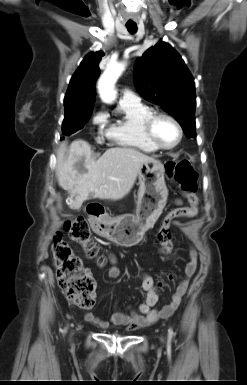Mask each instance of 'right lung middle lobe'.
Segmentation results:
<instances>
[{
  "label": "right lung middle lobe",
  "instance_id": "dd1d6c3e",
  "mask_svg": "<svg viewBox=\"0 0 247 385\" xmlns=\"http://www.w3.org/2000/svg\"><path fill=\"white\" fill-rule=\"evenodd\" d=\"M93 107L65 106V117L62 131L65 135H71L81 129L89 120Z\"/></svg>",
  "mask_w": 247,
  "mask_h": 385
}]
</instances>
